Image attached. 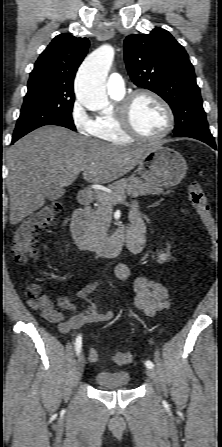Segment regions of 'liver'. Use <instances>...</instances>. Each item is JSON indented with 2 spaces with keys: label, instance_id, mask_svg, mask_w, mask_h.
<instances>
[{
  "label": "liver",
  "instance_id": "liver-1",
  "mask_svg": "<svg viewBox=\"0 0 222 447\" xmlns=\"http://www.w3.org/2000/svg\"><path fill=\"white\" fill-rule=\"evenodd\" d=\"M153 146L112 145L59 126L36 129L7 153L10 223L41 208L52 184L69 186L80 171L89 183L112 182L134 169Z\"/></svg>",
  "mask_w": 222,
  "mask_h": 447
}]
</instances>
